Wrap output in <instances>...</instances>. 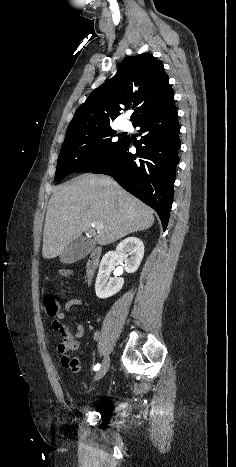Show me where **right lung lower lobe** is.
I'll list each match as a JSON object with an SVG mask.
<instances>
[{
  "label": "right lung lower lobe",
  "instance_id": "obj_1",
  "mask_svg": "<svg viewBox=\"0 0 236 467\" xmlns=\"http://www.w3.org/2000/svg\"><path fill=\"white\" fill-rule=\"evenodd\" d=\"M144 136L136 154L128 137L123 147L92 173L111 175L125 190L152 207L166 229L173 202L177 156L180 148L174 98L133 124ZM140 133V134H141Z\"/></svg>",
  "mask_w": 236,
  "mask_h": 467
}]
</instances>
